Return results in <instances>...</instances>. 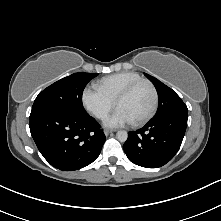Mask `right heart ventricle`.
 <instances>
[{"mask_svg":"<svg viewBox=\"0 0 221 221\" xmlns=\"http://www.w3.org/2000/svg\"><path fill=\"white\" fill-rule=\"evenodd\" d=\"M140 79H143L140 74L126 71L103 77L96 83V86L102 93L115 102L119 94L127 86Z\"/></svg>","mask_w":221,"mask_h":221,"instance_id":"right-heart-ventricle-1","label":"right heart ventricle"}]
</instances>
